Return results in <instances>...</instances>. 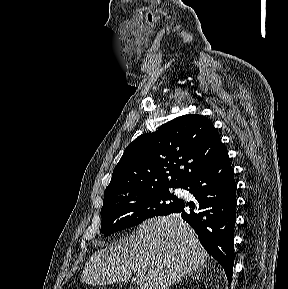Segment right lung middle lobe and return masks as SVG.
Returning a JSON list of instances; mask_svg holds the SVG:
<instances>
[{
	"instance_id": "1",
	"label": "right lung middle lobe",
	"mask_w": 288,
	"mask_h": 289,
	"mask_svg": "<svg viewBox=\"0 0 288 289\" xmlns=\"http://www.w3.org/2000/svg\"><path fill=\"white\" fill-rule=\"evenodd\" d=\"M169 188H150L104 198L101 232L108 236L145 219L168 214L181 201Z\"/></svg>"
}]
</instances>
